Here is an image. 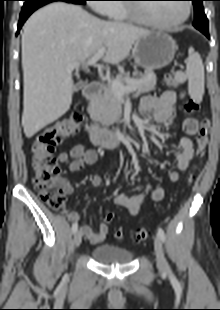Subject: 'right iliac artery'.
Returning <instances> with one entry per match:
<instances>
[{"label": "right iliac artery", "instance_id": "82829eb1", "mask_svg": "<svg viewBox=\"0 0 220 310\" xmlns=\"http://www.w3.org/2000/svg\"><path fill=\"white\" fill-rule=\"evenodd\" d=\"M77 230H78V223L75 222V223H73V225H72V233H76Z\"/></svg>", "mask_w": 220, "mask_h": 310}]
</instances>
